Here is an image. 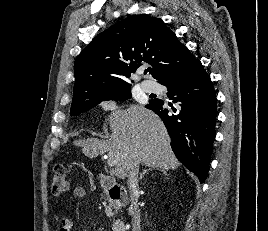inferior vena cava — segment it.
<instances>
[{
    "instance_id": "602c4592",
    "label": "inferior vena cava",
    "mask_w": 268,
    "mask_h": 231,
    "mask_svg": "<svg viewBox=\"0 0 268 231\" xmlns=\"http://www.w3.org/2000/svg\"><path fill=\"white\" fill-rule=\"evenodd\" d=\"M138 172H139V165L134 163L130 166L129 172L127 175V184L130 190V212L132 216V231H141L140 227V210L138 207V199L136 197L138 193Z\"/></svg>"
}]
</instances>
